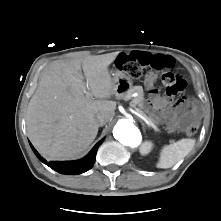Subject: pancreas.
Wrapping results in <instances>:
<instances>
[{
	"instance_id": "cf45deb5",
	"label": "pancreas",
	"mask_w": 221,
	"mask_h": 221,
	"mask_svg": "<svg viewBox=\"0 0 221 221\" xmlns=\"http://www.w3.org/2000/svg\"><path fill=\"white\" fill-rule=\"evenodd\" d=\"M134 92H137L138 96L132 99L131 104L134 105L135 107L138 106L139 107L138 109L144 115H146L145 111L142 110L144 108V93H143L142 87L140 86L133 87L124 96L130 95ZM147 117L154 125L156 124V121L151 116H147Z\"/></svg>"
}]
</instances>
